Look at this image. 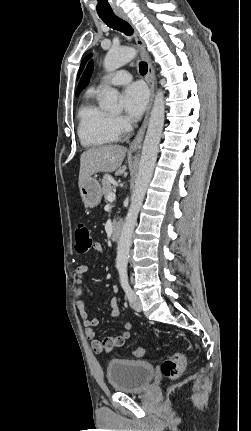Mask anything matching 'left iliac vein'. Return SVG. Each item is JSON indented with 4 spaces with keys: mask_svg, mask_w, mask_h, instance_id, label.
I'll list each match as a JSON object with an SVG mask.
<instances>
[{
    "mask_svg": "<svg viewBox=\"0 0 251 431\" xmlns=\"http://www.w3.org/2000/svg\"><path fill=\"white\" fill-rule=\"evenodd\" d=\"M132 307L135 311L141 312L142 311V303L139 297L136 294H133V299L131 301Z\"/></svg>",
    "mask_w": 251,
    "mask_h": 431,
    "instance_id": "1",
    "label": "left iliac vein"
}]
</instances>
